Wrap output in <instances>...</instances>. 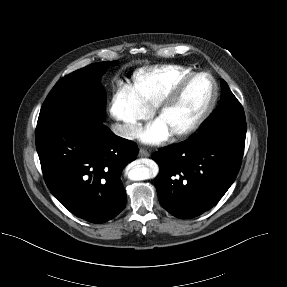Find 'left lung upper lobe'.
I'll use <instances>...</instances> for the list:
<instances>
[{
	"instance_id": "5c2ea615",
	"label": "left lung upper lobe",
	"mask_w": 287,
	"mask_h": 287,
	"mask_svg": "<svg viewBox=\"0 0 287 287\" xmlns=\"http://www.w3.org/2000/svg\"><path fill=\"white\" fill-rule=\"evenodd\" d=\"M221 83L222 94L218 108L196 136L206 140L225 139L244 143L247 129L244 110L227 83L224 80Z\"/></svg>"
}]
</instances>
